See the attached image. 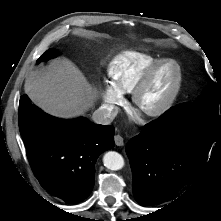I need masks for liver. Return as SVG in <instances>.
<instances>
[{
  "instance_id": "1",
  "label": "liver",
  "mask_w": 221,
  "mask_h": 221,
  "mask_svg": "<svg viewBox=\"0 0 221 221\" xmlns=\"http://www.w3.org/2000/svg\"><path fill=\"white\" fill-rule=\"evenodd\" d=\"M24 89L35 105L60 118L83 114L97 97L82 72L67 59L27 78Z\"/></svg>"
}]
</instances>
